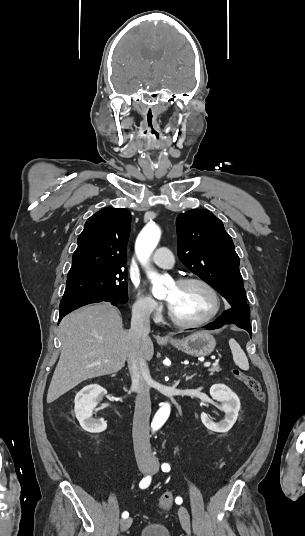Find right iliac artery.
<instances>
[{
	"mask_svg": "<svg viewBox=\"0 0 305 536\" xmlns=\"http://www.w3.org/2000/svg\"><path fill=\"white\" fill-rule=\"evenodd\" d=\"M150 482H151V477L150 476H146L145 478H143L139 484V487L141 489H145L147 488L149 485H150ZM129 516V513L127 511L123 512L122 514V517L125 519Z\"/></svg>",
	"mask_w": 305,
	"mask_h": 536,
	"instance_id": "right-iliac-artery-1",
	"label": "right iliac artery"
}]
</instances>
